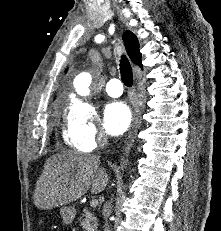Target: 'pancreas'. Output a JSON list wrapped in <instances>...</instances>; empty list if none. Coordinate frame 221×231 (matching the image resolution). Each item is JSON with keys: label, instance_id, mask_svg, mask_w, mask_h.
<instances>
[{"label": "pancreas", "instance_id": "cf45deb5", "mask_svg": "<svg viewBox=\"0 0 221 231\" xmlns=\"http://www.w3.org/2000/svg\"><path fill=\"white\" fill-rule=\"evenodd\" d=\"M83 220L81 226L85 231H97V218L94 216L93 212L85 208L82 214Z\"/></svg>", "mask_w": 221, "mask_h": 231}]
</instances>
